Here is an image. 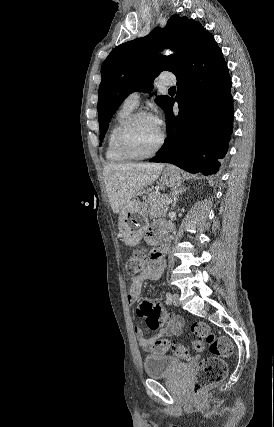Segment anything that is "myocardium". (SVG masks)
Segmentation results:
<instances>
[{
  "label": "myocardium",
  "instance_id": "myocardium-1",
  "mask_svg": "<svg viewBox=\"0 0 274 427\" xmlns=\"http://www.w3.org/2000/svg\"><path fill=\"white\" fill-rule=\"evenodd\" d=\"M143 117H152V115L147 111H138L132 114L128 119L124 121V123L120 126L117 136H116V146L118 150L124 155L128 160H147L155 157L164 147L166 143V133L162 130L161 138L156 146V148L146 154V155H138L132 152L127 145V135L131 127L141 118Z\"/></svg>",
  "mask_w": 274,
  "mask_h": 427
}]
</instances>
